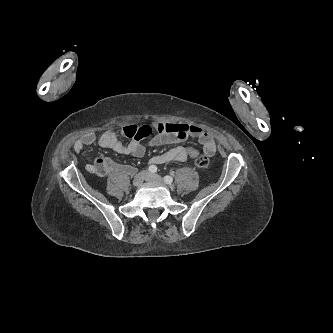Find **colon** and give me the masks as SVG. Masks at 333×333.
<instances>
[{"label": "colon", "instance_id": "obj_1", "mask_svg": "<svg viewBox=\"0 0 333 333\" xmlns=\"http://www.w3.org/2000/svg\"><path fill=\"white\" fill-rule=\"evenodd\" d=\"M194 162L198 167L204 168L207 167L209 164V158L203 154H198L194 158Z\"/></svg>", "mask_w": 333, "mask_h": 333}]
</instances>
